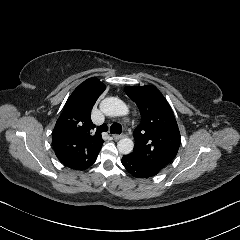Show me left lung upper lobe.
Masks as SVG:
<instances>
[{"instance_id":"left-lung-upper-lobe-1","label":"left lung upper lobe","mask_w":240,"mask_h":240,"mask_svg":"<svg viewBox=\"0 0 240 240\" xmlns=\"http://www.w3.org/2000/svg\"><path fill=\"white\" fill-rule=\"evenodd\" d=\"M125 92L137 104L142 118L133 132L135 146L128 156L146 168L161 170L175 158L181 143L173 112L153 86L125 87Z\"/></svg>"}]
</instances>
